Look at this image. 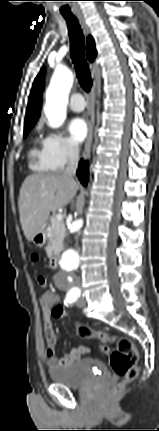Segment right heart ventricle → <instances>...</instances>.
I'll return each mask as SVG.
<instances>
[{
  "instance_id": "right-heart-ventricle-1",
  "label": "right heart ventricle",
  "mask_w": 159,
  "mask_h": 431,
  "mask_svg": "<svg viewBox=\"0 0 159 431\" xmlns=\"http://www.w3.org/2000/svg\"><path fill=\"white\" fill-rule=\"evenodd\" d=\"M29 166L36 172L50 171L43 156V151L34 145L29 151Z\"/></svg>"
}]
</instances>
